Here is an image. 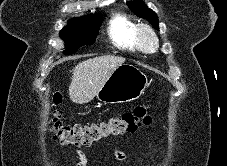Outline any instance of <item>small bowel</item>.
Here are the masks:
<instances>
[{"label":"small bowel","mask_w":227,"mask_h":166,"mask_svg":"<svg viewBox=\"0 0 227 166\" xmlns=\"http://www.w3.org/2000/svg\"><path fill=\"white\" fill-rule=\"evenodd\" d=\"M78 157H79V163L78 166H87L88 160L86 155L82 151H77ZM115 155L118 160L124 161L126 159V156L123 151L119 149H115Z\"/></svg>","instance_id":"small-bowel-1"}]
</instances>
